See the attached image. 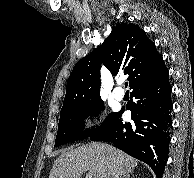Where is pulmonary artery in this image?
<instances>
[{
	"instance_id": "e3ab8cb5",
	"label": "pulmonary artery",
	"mask_w": 194,
	"mask_h": 178,
	"mask_svg": "<svg viewBox=\"0 0 194 178\" xmlns=\"http://www.w3.org/2000/svg\"><path fill=\"white\" fill-rule=\"evenodd\" d=\"M112 95L114 99H116L117 101H121L124 98V91L120 87H118L113 91Z\"/></svg>"
}]
</instances>
